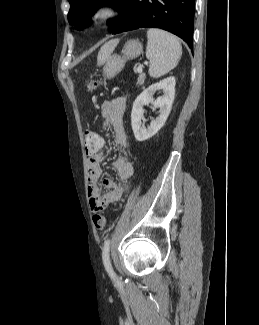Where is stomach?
<instances>
[{
	"mask_svg": "<svg viewBox=\"0 0 259 325\" xmlns=\"http://www.w3.org/2000/svg\"><path fill=\"white\" fill-rule=\"evenodd\" d=\"M143 51L142 44L139 40L131 39L127 41L123 47L121 55L110 56L103 68V76L111 79L122 71L125 63L141 55Z\"/></svg>",
	"mask_w": 259,
	"mask_h": 325,
	"instance_id": "0dacf381",
	"label": "stomach"
}]
</instances>
